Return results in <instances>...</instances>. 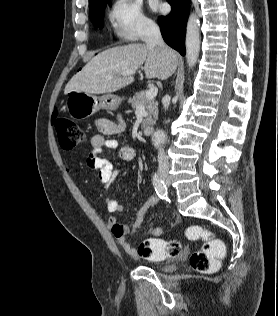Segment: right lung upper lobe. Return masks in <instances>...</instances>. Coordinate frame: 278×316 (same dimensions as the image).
Here are the masks:
<instances>
[{"label":"right lung upper lobe","mask_w":278,"mask_h":316,"mask_svg":"<svg viewBox=\"0 0 278 316\" xmlns=\"http://www.w3.org/2000/svg\"><path fill=\"white\" fill-rule=\"evenodd\" d=\"M102 1H105V0H89V9H91L94 6L98 5Z\"/></svg>","instance_id":"1"}]
</instances>
